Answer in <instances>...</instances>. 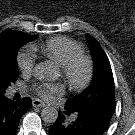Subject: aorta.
<instances>
[{"label": "aorta", "mask_w": 135, "mask_h": 135, "mask_svg": "<svg viewBox=\"0 0 135 135\" xmlns=\"http://www.w3.org/2000/svg\"><path fill=\"white\" fill-rule=\"evenodd\" d=\"M34 75L39 80H55L57 71L50 62H41L34 67ZM41 117L46 123H55L58 118V111L52 106L42 109Z\"/></svg>", "instance_id": "1"}]
</instances>
